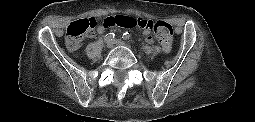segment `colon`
<instances>
[{"instance_id":"obj_1","label":"colon","mask_w":255,"mask_h":122,"mask_svg":"<svg viewBox=\"0 0 255 122\" xmlns=\"http://www.w3.org/2000/svg\"><path fill=\"white\" fill-rule=\"evenodd\" d=\"M107 23L127 29H140L155 33L164 53L172 51L173 29L170 24L164 21H153L143 17H130L116 15L108 17ZM96 27V20L93 18L81 19L70 23L66 29V42L71 49H77L82 39L93 33Z\"/></svg>"}]
</instances>
